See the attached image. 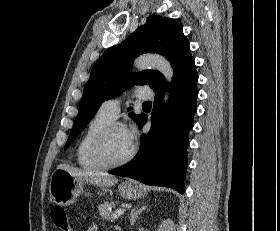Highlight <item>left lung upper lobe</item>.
Returning a JSON list of instances; mask_svg holds the SVG:
<instances>
[{"instance_id":"5c2ea615","label":"left lung upper lobe","mask_w":280,"mask_h":231,"mask_svg":"<svg viewBox=\"0 0 280 231\" xmlns=\"http://www.w3.org/2000/svg\"><path fill=\"white\" fill-rule=\"evenodd\" d=\"M144 53H158L169 60L174 70L172 83L188 69H195L190 44L181 24L170 18L150 16L147 23L137 28L125 41L109 48L92 68L65 149L91 121L105 100L118 96L133 84H149L154 92L166 87V80L159 71L131 72L134 59ZM129 116L137 121L139 115L130 113Z\"/></svg>"}]
</instances>
